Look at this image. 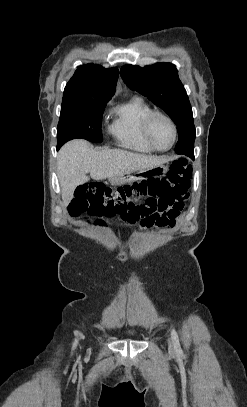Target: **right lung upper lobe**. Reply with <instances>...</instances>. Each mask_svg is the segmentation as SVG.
Segmentation results:
<instances>
[{
    "mask_svg": "<svg viewBox=\"0 0 247 407\" xmlns=\"http://www.w3.org/2000/svg\"><path fill=\"white\" fill-rule=\"evenodd\" d=\"M118 76L117 68L105 69L94 64L80 66L67 83L62 102L109 101Z\"/></svg>",
    "mask_w": 247,
    "mask_h": 407,
    "instance_id": "obj_1",
    "label": "right lung upper lobe"
}]
</instances>
